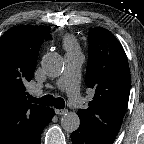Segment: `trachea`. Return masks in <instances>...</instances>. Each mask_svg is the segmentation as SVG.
Listing matches in <instances>:
<instances>
[{"instance_id": "1", "label": "trachea", "mask_w": 144, "mask_h": 144, "mask_svg": "<svg viewBox=\"0 0 144 144\" xmlns=\"http://www.w3.org/2000/svg\"><path fill=\"white\" fill-rule=\"evenodd\" d=\"M28 98L31 103H37L44 106H54L57 109H63L65 107V102L62 98H54L52 95H45L42 98H35L28 95Z\"/></svg>"}]
</instances>
